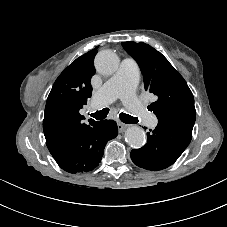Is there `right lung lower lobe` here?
Here are the masks:
<instances>
[{"mask_svg":"<svg viewBox=\"0 0 227 227\" xmlns=\"http://www.w3.org/2000/svg\"><path fill=\"white\" fill-rule=\"evenodd\" d=\"M118 135L113 120L99 121L82 131L75 139L50 152L57 164L69 173L89 172L98 166L106 142Z\"/></svg>","mask_w":227,"mask_h":227,"instance_id":"obj_1","label":"right lung lower lobe"}]
</instances>
